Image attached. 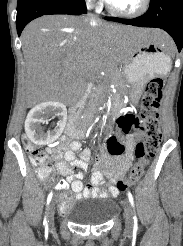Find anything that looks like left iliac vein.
<instances>
[{"instance_id": "4c4485c4", "label": "left iliac vein", "mask_w": 183, "mask_h": 246, "mask_svg": "<svg viewBox=\"0 0 183 246\" xmlns=\"http://www.w3.org/2000/svg\"><path fill=\"white\" fill-rule=\"evenodd\" d=\"M124 215H125L126 228L130 230L133 227V212H132L131 204L128 200L124 201Z\"/></svg>"}]
</instances>
